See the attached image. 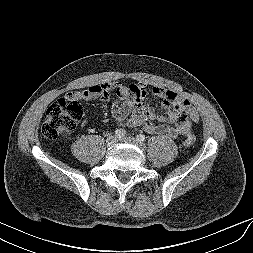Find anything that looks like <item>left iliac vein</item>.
Instances as JSON below:
<instances>
[{
  "label": "left iliac vein",
  "mask_w": 253,
  "mask_h": 253,
  "mask_svg": "<svg viewBox=\"0 0 253 253\" xmlns=\"http://www.w3.org/2000/svg\"><path fill=\"white\" fill-rule=\"evenodd\" d=\"M121 140L124 142L130 143V144H134L141 149H144L143 143H140L136 138H134L132 136H126V137L122 138Z\"/></svg>",
  "instance_id": "1"
}]
</instances>
